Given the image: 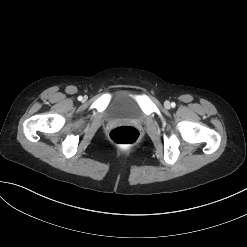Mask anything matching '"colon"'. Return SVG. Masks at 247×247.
<instances>
[{
    "label": "colon",
    "mask_w": 247,
    "mask_h": 247,
    "mask_svg": "<svg viewBox=\"0 0 247 247\" xmlns=\"http://www.w3.org/2000/svg\"><path fill=\"white\" fill-rule=\"evenodd\" d=\"M139 138V131L132 126H119L112 129L109 133V139L117 145H132L138 142Z\"/></svg>",
    "instance_id": "1"
}]
</instances>
